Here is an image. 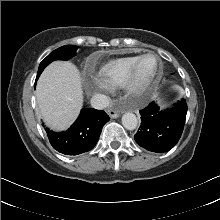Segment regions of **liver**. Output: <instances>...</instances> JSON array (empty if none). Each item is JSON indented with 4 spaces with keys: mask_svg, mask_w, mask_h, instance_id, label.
<instances>
[{
    "mask_svg": "<svg viewBox=\"0 0 220 220\" xmlns=\"http://www.w3.org/2000/svg\"><path fill=\"white\" fill-rule=\"evenodd\" d=\"M36 101L45 123L54 130L69 127L83 104L80 73L71 62L51 63L41 74Z\"/></svg>",
    "mask_w": 220,
    "mask_h": 220,
    "instance_id": "6515ba94",
    "label": "liver"
}]
</instances>
